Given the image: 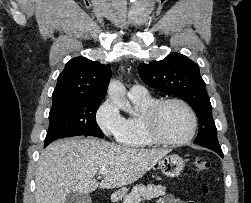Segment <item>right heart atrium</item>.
I'll return each instance as SVG.
<instances>
[{
	"label": "right heart atrium",
	"mask_w": 251,
	"mask_h": 203,
	"mask_svg": "<svg viewBox=\"0 0 251 203\" xmlns=\"http://www.w3.org/2000/svg\"><path fill=\"white\" fill-rule=\"evenodd\" d=\"M96 123L108 137L118 138L124 130L125 119L111 99H106L97 109Z\"/></svg>",
	"instance_id": "d8ad5b80"
}]
</instances>
